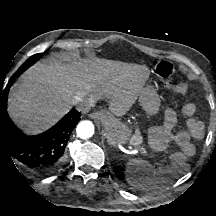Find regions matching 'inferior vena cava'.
Returning a JSON list of instances; mask_svg holds the SVG:
<instances>
[{"label": "inferior vena cava", "instance_id": "602c4592", "mask_svg": "<svg viewBox=\"0 0 216 216\" xmlns=\"http://www.w3.org/2000/svg\"><path fill=\"white\" fill-rule=\"evenodd\" d=\"M79 112H88L94 106V100L85 96H77L73 102Z\"/></svg>", "mask_w": 216, "mask_h": 216}]
</instances>
